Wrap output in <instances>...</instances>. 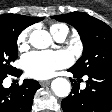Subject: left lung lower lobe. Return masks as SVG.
<instances>
[{
  "label": "left lung lower lobe",
  "mask_w": 112,
  "mask_h": 112,
  "mask_svg": "<svg viewBox=\"0 0 112 112\" xmlns=\"http://www.w3.org/2000/svg\"><path fill=\"white\" fill-rule=\"evenodd\" d=\"M74 78L80 82V75L73 70ZM86 88L80 90V85L73 80V88L68 97L62 100L64 112H110L112 110V69H104L86 74ZM72 80V79H71Z\"/></svg>",
  "instance_id": "1"
}]
</instances>
